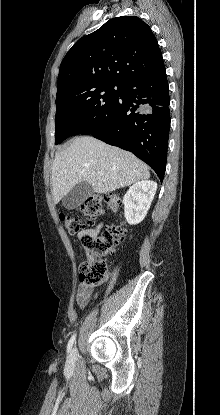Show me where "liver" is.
Here are the masks:
<instances>
[{
  "instance_id": "6515ba94",
  "label": "liver",
  "mask_w": 220,
  "mask_h": 415,
  "mask_svg": "<svg viewBox=\"0 0 220 415\" xmlns=\"http://www.w3.org/2000/svg\"><path fill=\"white\" fill-rule=\"evenodd\" d=\"M98 172H103L100 176ZM150 178L149 168L128 151L110 146L94 137L75 138L56 152L51 185L57 204L80 182H88L96 193L106 194Z\"/></svg>"
}]
</instances>
